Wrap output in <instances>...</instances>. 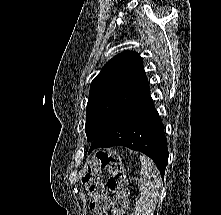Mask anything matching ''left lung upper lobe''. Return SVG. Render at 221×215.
I'll list each match as a JSON object with an SVG mask.
<instances>
[{"label": "left lung upper lobe", "mask_w": 221, "mask_h": 215, "mask_svg": "<svg viewBox=\"0 0 221 215\" xmlns=\"http://www.w3.org/2000/svg\"><path fill=\"white\" fill-rule=\"evenodd\" d=\"M150 90L143 59L134 51L114 56L92 81L86 110L87 141L92 142Z\"/></svg>", "instance_id": "1"}]
</instances>
